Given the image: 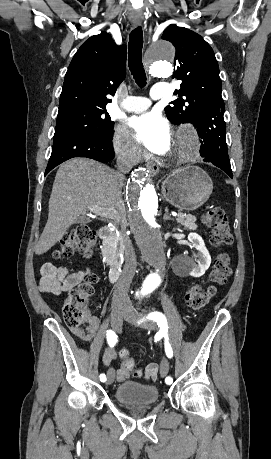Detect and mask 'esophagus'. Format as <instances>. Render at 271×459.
<instances>
[{
    "mask_svg": "<svg viewBox=\"0 0 271 459\" xmlns=\"http://www.w3.org/2000/svg\"><path fill=\"white\" fill-rule=\"evenodd\" d=\"M135 25H140V23H135ZM146 166L151 176H155L159 172V166L154 161L147 162Z\"/></svg>",
    "mask_w": 271,
    "mask_h": 459,
    "instance_id": "34e87169",
    "label": "esophagus"
}]
</instances>
